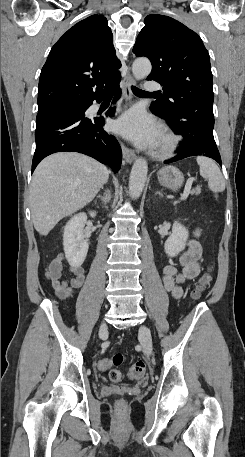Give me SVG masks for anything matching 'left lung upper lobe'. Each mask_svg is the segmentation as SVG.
<instances>
[{
  "label": "left lung upper lobe",
  "instance_id": "obj_1",
  "mask_svg": "<svg viewBox=\"0 0 245 457\" xmlns=\"http://www.w3.org/2000/svg\"><path fill=\"white\" fill-rule=\"evenodd\" d=\"M144 23L133 53L150 59L147 80L163 86L165 97L152 103L155 110L167 120L188 112H213L210 58L200 37L168 16L151 14Z\"/></svg>",
  "mask_w": 245,
  "mask_h": 457
}]
</instances>
